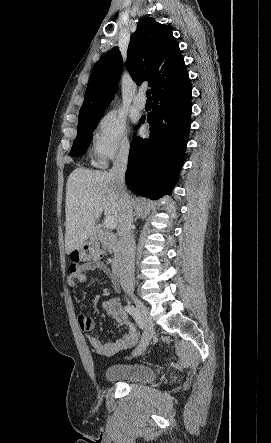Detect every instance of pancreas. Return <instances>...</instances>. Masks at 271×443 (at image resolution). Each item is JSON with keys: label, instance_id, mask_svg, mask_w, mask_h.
Returning <instances> with one entry per match:
<instances>
[{"label": "pancreas", "instance_id": "cf45deb5", "mask_svg": "<svg viewBox=\"0 0 271 443\" xmlns=\"http://www.w3.org/2000/svg\"><path fill=\"white\" fill-rule=\"evenodd\" d=\"M98 239H100L103 247L108 249L110 253H116L117 243L114 239H111L110 235H98Z\"/></svg>", "mask_w": 271, "mask_h": 443}]
</instances>
